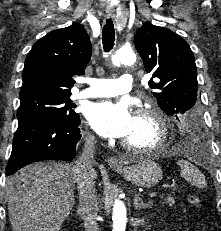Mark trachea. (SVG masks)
<instances>
[{"instance_id":"3493384b","label":"trachea","mask_w":221,"mask_h":231,"mask_svg":"<svg viewBox=\"0 0 221 231\" xmlns=\"http://www.w3.org/2000/svg\"><path fill=\"white\" fill-rule=\"evenodd\" d=\"M115 30L114 24L111 19H107L102 31V43L106 52L110 51L114 46Z\"/></svg>"}]
</instances>
